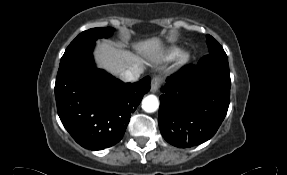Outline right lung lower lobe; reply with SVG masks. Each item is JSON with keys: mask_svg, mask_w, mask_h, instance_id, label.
<instances>
[{"mask_svg": "<svg viewBox=\"0 0 287 175\" xmlns=\"http://www.w3.org/2000/svg\"><path fill=\"white\" fill-rule=\"evenodd\" d=\"M95 43L63 56L55 83L57 111L74 140L90 150L119 142L144 94L150 77L124 83L95 67Z\"/></svg>", "mask_w": 287, "mask_h": 175, "instance_id": "obj_1", "label": "right lung lower lobe"}]
</instances>
